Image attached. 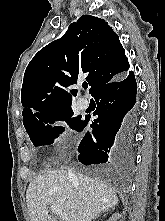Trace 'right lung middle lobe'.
<instances>
[{
    "label": "right lung middle lobe",
    "instance_id": "right-lung-middle-lobe-1",
    "mask_svg": "<svg viewBox=\"0 0 165 221\" xmlns=\"http://www.w3.org/2000/svg\"><path fill=\"white\" fill-rule=\"evenodd\" d=\"M71 107H65L38 116L35 120L24 123L25 129L33 142L34 146L48 145L54 142V138L58 137L65 128L60 126L52 127L55 121H66L73 129L79 130L84 121L81 116L73 117Z\"/></svg>",
    "mask_w": 165,
    "mask_h": 221
}]
</instances>
